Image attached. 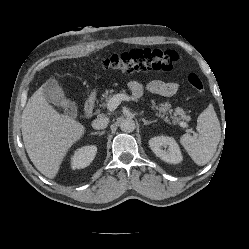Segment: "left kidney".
<instances>
[{"label": "left kidney", "mask_w": 249, "mask_h": 249, "mask_svg": "<svg viewBox=\"0 0 249 249\" xmlns=\"http://www.w3.org/2000/svg\"><path fill=\"white\" fill-rule=\"evenodd\" d=\"M151 150L163 161L178 164L183 157L179 145L172 137L158 136L149 140Z\"/></svg>", "instance_id": "5707ae66"}]
</instances>
